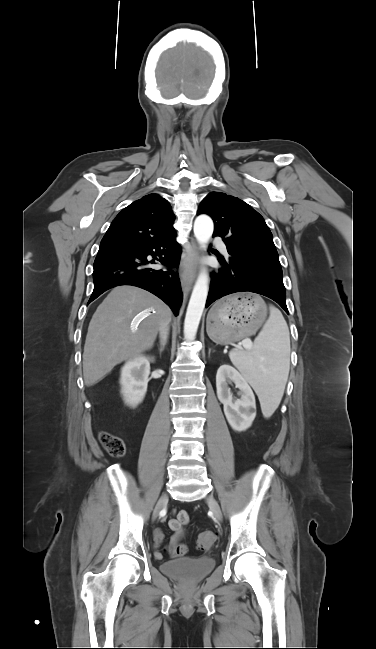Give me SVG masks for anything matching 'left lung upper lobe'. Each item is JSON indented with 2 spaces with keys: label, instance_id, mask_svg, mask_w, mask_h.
I'll list each match as a JSON object with an SVG mask.
<instances>
[{
  "label": "left lung upper lobe",
  "instance_id": "obj_1",
  "mask_svg": "<svg viewBox=\"0 0 376 649\" xmlns=\"http://www.w3.org/2000/svg\"><path fill=\"white\" fill-rule=\"evenodd\" d=\"M208 214L214 221V236H220L235 250L280 266L270 229L250 205L221 192L208 194L198 215Z\"/></svg>",
  "mask_w": 376,
  "mask_h": 649
}]
</instances>
